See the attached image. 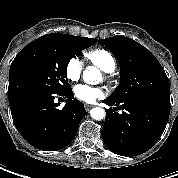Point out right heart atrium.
I'll list each match as a JSON object with an SVG mask.
<instances>
[{
  "label": "right heart atrium",
  "instance_id": "obj_1",
  "mask_svg": "<svg viewBox=\"0 0 178 178\" xmlns=\"http://www.w3.org/2000/svg\"><path fill=\"white\" fill-rule=\"evenodd\" d=\"M82 69V62L76 57L71 58L66 64L67 78L72 82L78 81L81 77Z\"/></svg>",
  "mask_w": 178,
  "mask_h": 178
}]
</instances>
